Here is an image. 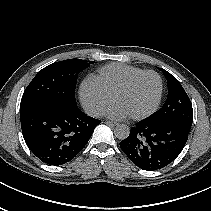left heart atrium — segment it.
Wrapping results in <instances>:
<instances>
[{
	"label": "left heart atrium",
	"mask_w": 211,
	"mask_h": 211,
	"mask_svg": "<svg viewBox=\"0 0 211 211\" xmlns=\"http://www.w3.org/2000/svg\"><path fill=\"white\" fill-rule=\"evenodd\" d=\"M106 116L112 119H125L129 117L128 112L118 103L113 102L105 112Z\"/></svg>",
	"instance_id": "left-heart-atrium-1"
}]
</instances>
